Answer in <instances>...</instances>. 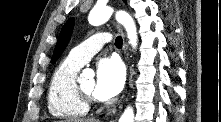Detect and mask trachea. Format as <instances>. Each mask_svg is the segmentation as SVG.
I'll return each instance as SVG.
<instances>
[{
    "label": "trachea",
    "instance_id": "1",
    "mask_svg": "<svg viewBox=\"0 0 221 122\" xmlns=\"http://www.w3.org/2000/svg\"><path fill=\"white\" fill-rule=\"evenodd\" d=\"M122 44H123V40H122V37L121 36H118L115 40V46L117 48H121L122 47Z\"/></svg>",
    "mask_w": 221,
    "mask_h": 122
}]
</instances>
